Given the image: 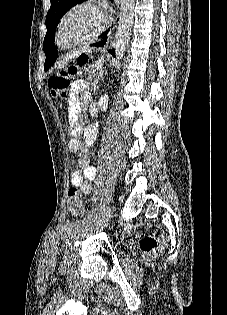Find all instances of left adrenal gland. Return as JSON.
Segmentation results:
<instances>
[{"label": "left adrenal gland", "mask_w": 227, "mask_h": 315, "mask_svg": "<svg viewBox=\"0 0 227 315\" xmlns=\"http://www.w3.org/2000/svg\"><path fill=\"white\" fill-rule=\"evenodd\" d=\"M103 76H104L103 71H101V72L99 73L98 77L96 78V80L94 81V90H95V88H96V85H95V84L98 83V81H99L100 79L103 80Z\"/></svg>", "instance_id": "1"}]
</instances>
